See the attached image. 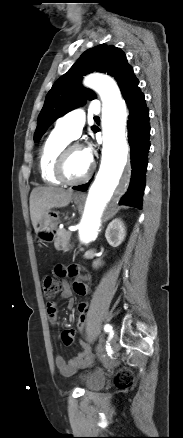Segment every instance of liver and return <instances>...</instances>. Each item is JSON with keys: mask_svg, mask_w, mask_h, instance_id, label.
I'll return each mask as SVG.
<instances>
[{"mask_svg": "<svg viewBox=\"0 0 183 438\" xmlns=\"http://www.w3.org/2000/svg\"><path fill=\"white\" fill-rule=\"evenodd\" d=\"M73 196V190L56 187H38L30 194V216L35 229L36 224L52 208L66 207Z\"/></svg>", "mask_w": 183, "mask_h": 438, "instance_id": "1", "label": "liver"}]
</instances>
